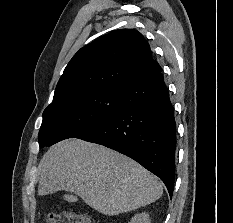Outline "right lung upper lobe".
<instances>
[{
    "label": "right lung upper lobe",
    "instance_id": "1",
    "mask_svg": "<svg viewBox=\"0 0 233 223\" xmlns=\"http://www.w3.org/2000/svg\"><path fill=\"white\" fill-rule=\"evenodd\" d=\"M161 72L145 38L120 29L81 48L66 66L54 98L94 88L123 89Z\"/></svg>",
    "mask_w": 233,
    "mask_h": 223
}]
</instances>
